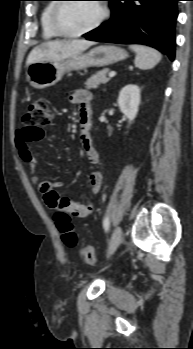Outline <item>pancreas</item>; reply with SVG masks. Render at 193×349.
Returning a JSON list of instances; mask_svg holds the SVG:
<instances>
[{
    "label": "pancreas",
    "mask_w": 193,
    "mask_h": 349,
    "mask_svg": "<svg viewBox=\"0 0 193 349\" xmlns=\"http://www.w3.org/2000/svg\"><path fill=\"white\" fill-rule=\"evenodd\" d=\"M109 72L108 68H105L97 73L93 74L90 78L85 82L87 89L97 88L100 84H105L109 81V78L106 77Z\"/></svg>",
    "instance_id": "1"
}]
</instances>
